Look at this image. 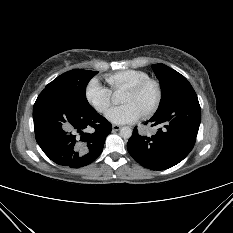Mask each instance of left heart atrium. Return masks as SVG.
Here are the masks:
<instances>
[{
    "instance_id": "left-heart-atrium-1",
    "label": "left heart atrium",
    "mask_w": 233,
    "mask_h": 233,
    "mask_svg": "<svg viewBox=\"0 0 233 233\" xmlns=\"http://www.w3.org/2000/svg\"><path fill=\"white\" fill-rule=\"evenodd\" d=\"M143 115L142 111L132 103L110 108L106 112V118L115 124H128L137 121Z\"/></svg>"
}]
</instances>
